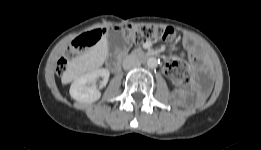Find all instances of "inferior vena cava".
Instances as JSON below:
<instances>
[{
	"instance_id": "602c4592",
	"label": "inferior vena cava",
	"mask_w": 261,
	"mask_h": 150,
	"mask_svg": "<svg viewBox=\"0 0 261 150\" xmlns=\"http://www.w3.org/2000/svg\"><path fill=\"white\" fill-rule=\"evenodd\" d=\"M122 65L125 70H129V69L140 66V61L138 60V58L136 56L131 54L124 58Z\"/></svg>"
}]
</instances>
